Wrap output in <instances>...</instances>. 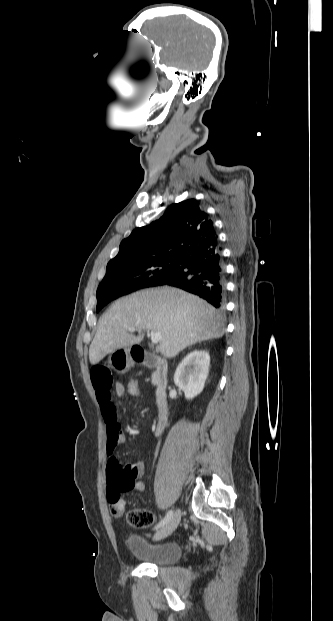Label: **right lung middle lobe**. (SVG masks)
I'll list each match as a JSON object with an SVG mask.
<instances>
[{
	"instance_id": "1",
	"label": "right lung middle lobe",
	"mask_w": 333,
	"mask_h": 621,
	"mask_svg": "<svg viewBox=\"0 0 333 621\" xmlns=\"http://www.w3.org/2000/svg\"><path fill=\"white\" fill-rule=\"evenodd\" d=\"M181 264L182 258L167 256L107 265L106 275L97 289L96 311L120 296L160 285L176 273Z\"/></svg>"
}]
</instances>
